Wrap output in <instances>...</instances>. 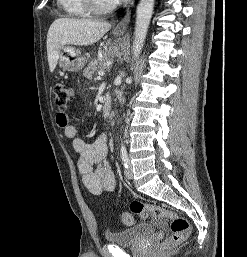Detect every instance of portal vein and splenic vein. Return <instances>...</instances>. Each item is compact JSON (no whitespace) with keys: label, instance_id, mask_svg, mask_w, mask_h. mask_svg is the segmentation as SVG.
<instances>
[{"label":"portal vein and splenic vein","instance_id":"obj_1","mask_svg":"<svg viewBox=\"0 0 247 257\" xmlns=\"http://www.w3.org/2000/svg\"><path fill=\"white\" fill-rule=\"evenodd\" d=\"M98 74H99V77H101V76H103V75H104V72L99 71V72H98Z\"/></svg>","mask_w":247,"mask_h":257}]
</instances>
